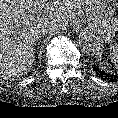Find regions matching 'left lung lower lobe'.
I'll return each instance as SVG.
<instances>
[{"label":"left lung lower lobe","instance_id":"obj_1","mask_svg":"<svg viewBox=\"0 0 118 118\" xmlns=\"http://www.w3.org/2000/svg\"><path fill=\"white\" fill-rule=\"evenodd\" d=\"M93 70L96 72L97 76L104 80H110L116 82L118 80V75L107 74L104 71L100 70L98 67L93 65Z\"/></svg>","mask_w":118,"mask_h":118}]
</instances>
